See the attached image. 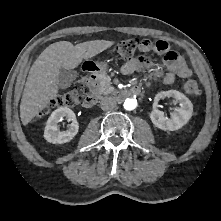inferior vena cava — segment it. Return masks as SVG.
Here are the masks:
<instances>
[{"mask_svg":"<svg viewBox=\"0 0 221 221\" xmlns=\"http://www.w3.org/2000/svg\"><path fill=\"white\" fill-rule=\"evenodd\" d=\"M101 109L104 111L112 110L116 107V101L112 97H103L100 102Z\"/></svg>","mask_w":221,"mask_h":221,"instance_id":"obj_1","label":"inferior vena cava"}]
</instances>
